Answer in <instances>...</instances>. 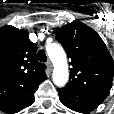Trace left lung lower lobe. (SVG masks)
I'll return each instance as SVG.
<instances>
[{"instance_id":"left-lung-lower-lobe-1","label":"left lung lower lobe","mask_w":114,"mask_h":114,"mask_svg":"<svg viewBox=\"0 0 114 114\" xmlns=\"http://www.w3.org/2000/svg\"><path fill=\"white\" fill-rule=\"evenodd\" d=\"M59 99L63 105L80 113H87L98 107L105 98L68 88L58 89Z\"/></svg>"}]
</instances>
